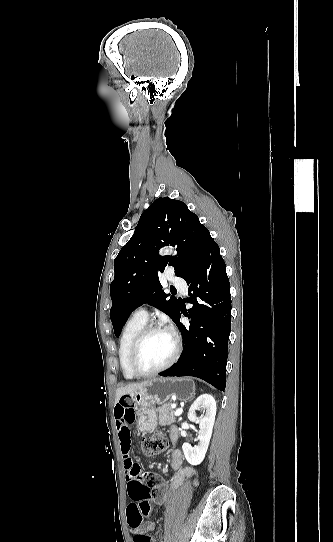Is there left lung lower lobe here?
Instances as JSON below:
<instances>
[{
	"instance_id": "0a47b994",
	"label": "left lung lower lobe",
	"mask_w": 333,
	"mask_h": 542,
	"mask_svg": "<svg viewBox=\"0 0 333 542\" xmlns=\"http://www.w3.org/2000/svg\"><path fill=\"white\" fill-rule=\"evenodd\" d=\"M193 304L188 313L181 304L176 325L183 337L181 357L161 376H194L219 390L226 385L228 339L231 330L230 285L219 246L211 238L199 265L186 279ZM181 313L190 320L185 327Z\"/></svg>"
}]
</instances>
